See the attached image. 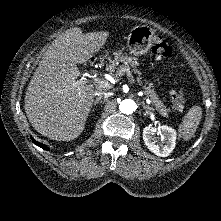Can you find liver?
Listing matches in <instances>:
<instances>
[{"label": "liver", "mask_w": 221, "mask_h": 221, "mask_svg": "<svg viewBox=\"0 0 221 221\" xmlns=\"http://www.w3.org/2000/svg\"><path fill=\"white\" fill-rule=\"evenodd\" d=\"M109 32L83 34L70 28L53 41L40 61L25 95V112L40 134L70 141L84 130L94 101V86L77 84L82 64L106 44Z\"/></svg>", "instance_id": "6515ba94"}]
</instances>
